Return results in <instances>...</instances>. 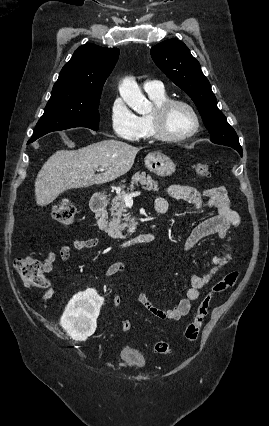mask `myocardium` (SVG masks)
<instances>
[{
    "mask_svg": "<svg viewBox=\"0 0 269 426\" xmlns=\"http://www.w3.org/2000/svg\"><path fill=\"white\" fill-rule=\"evenodd\" d=\"M175 106L186 107L194 117V127L189 132L181 135H172L166 128L169 112ZM149 124L153 138L164 142H179L187 140L198 133L201 128V119L195 107L189 102L182 99H168L154 107L149 114Z\"/></svg>",
    "mask_w": 269,
    "mask_h": 426,
    "instance_id": "obj_1",
    "label": "myocardium"
}]
</instances>
